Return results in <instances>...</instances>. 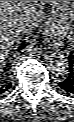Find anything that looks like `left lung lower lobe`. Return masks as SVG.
Wrapping results in <instances>:
<instances>
[{
	"mask_svg": "<svg viewBox=\"0 0 74 122\" xmlns=\"http://www.w3.org/2000/svg\"><path fill=\"white\" fill-rule=\"evenodd\" d=\"M69 62L71 67L70 74L64 81L60 82L58 85L64 91L74 94V59L72 60L70 58Z\"/></svg>",
	"mask_w": 74,
	"mask_h": 122,
	"instance_id": "0a47b994",
	"label": "left lung lower lobe"
}]
</instances>
